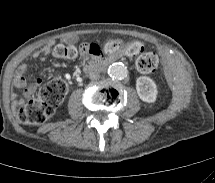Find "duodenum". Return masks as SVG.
Masks as SVG:
<instances>
[{
  "label": "duodenum",
  "mask_w": 215,
  "mask_h": 183,
  "mask_svg": "<svg viewBox=\"0 0 215 183\" xmlns=\"http://www.w3.org/2000/svg\"><path fill=\"white\" fill-rule=\"evenodd\" d=\"M113 59H96V60H91L90 62H88L84 68H83V72L84 73H89L98 69H101L107 65H109L110 63H112Z\"/></svg>",
  "instance_id": "410a0bca"
}]
</instances>
